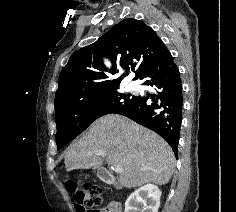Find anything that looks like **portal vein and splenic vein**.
I'll return each instance as SVG.
<instances>
[{
	"instance_id": "portal-vein-and-splenic-vein-1",
	"label": "portal vein and splenic vein",
	"mask_w": 236,
	"mask_h": 212,
	"mask_svg": "<svg viewBox=\"0 0 236 212\" xmlns=\"http://www.w3.org/2000/svg\"><path fill=\"white\" fill-rule=\"evenodd\" d=\"M92 153L95 155H101V156L105 155V152L100 151V150L93 151ZM114 169L117 173H121L123 171L122 166H119V165L115 166Z\"/></svg>"
}]
</instances>
